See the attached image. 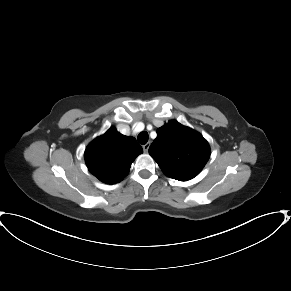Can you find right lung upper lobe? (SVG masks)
Instances as JSON below:
<instances>
[{
    "label": "right lung upper lobe",
    "instance_id": "cb5924a9",
    "mask_svg": "<svg viewBox=\"0 0 291 291\" xmlns=\"http://www.w3.org/2000/svg\"><path fill=\"white\" fill-rule=\"evenodd\" d=\"M142 152L135 138L125 136L111 127L87 146L84 158L95 177L114 184L127 176L132 162Z\"/></svg>",
    "mask_w": 291,
    "mask_h": 291
}]
</instances>
